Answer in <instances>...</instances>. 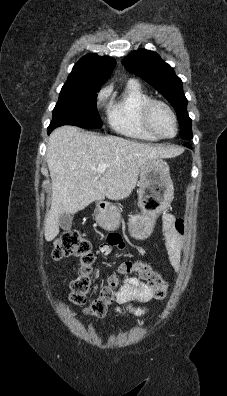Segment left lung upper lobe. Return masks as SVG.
Wrapping results in <instances>:
<instances>
[{"mask_svg": "<svg viewBox=\"0 0 227 396\" xmlns=\"http://www.w3.org/2000/svg\"><path fill=\"white\" fill-rule=\"evenodd\" d=\"M131 73L144 79L174 107L181 127L182 139H192L191 119L187 113V99L182 81L160 56L146 49L133 51L122 61Z\"/></svg>", "mask_w": 227, "mask_h": 396, "instance_id": "left-lung-upper-lobe-1", "label": "left lung upper lobe"}]
</instances>
